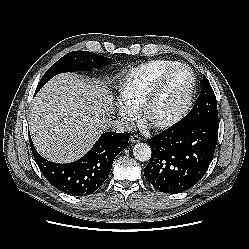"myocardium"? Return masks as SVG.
I'll return each instance as SVG.
<instances>
[{"instance_id": "obj_1", "label": "myocardium", "mask_w": 249, "mask_h": 249, "mask_svg": "<svg viewBox=\"0 0 249 249\" xmlns=\"http://www.w3.org/2000/svg\"><path fill=\"white\" fill-rule=\"evenodd\" d=\"M180 69H187L190 73V76H191V82H190L189 88L184 96V99H183L181 105L169 117H167L165 119H161V120L153 119L151 116L152 110H153L154 106L156 105V103L161 98V95L165 89V86H166L169 78L176 71H178ZM196 82H197V79H196L195 72L187 64L179 63V64L169 68L168 70H166L160 76V78L156 82L155 86L153 87L151 92L147 95V97L145 98L144 102L142 103V105L140 107L142 121L146 125H148L149 127L154 128V129H159V130L167 129V128H170V127L174 126L175 124H177L188 113V111L191 107L194 93H195Z\"/></svg>"}]
</instances>
